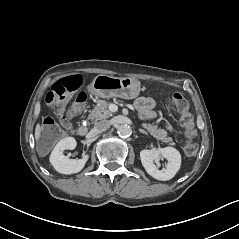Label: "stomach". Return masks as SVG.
<instances>
[{
	"instance_id": "obj_1",
	"label": "stomach",
	"mask_w": 239,
	"mask_h": 239,
	"mask_svg": "<svg viewBox=\"0 0 239 239\" xmlns=\"http://www.w3.org/2000/svg\"><path fill=\"white\" fill-rule=\"evenodd\" d=\"M88 90L101 98L134 99L140 93V82L130 77L120 78L100 74L94 78Z\"/></svg>"
}]
</instances>
